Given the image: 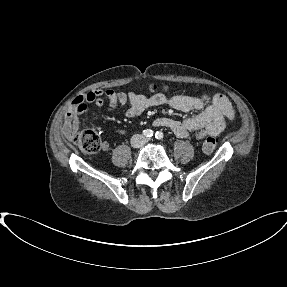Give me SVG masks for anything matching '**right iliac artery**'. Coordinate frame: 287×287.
Instances as JSON below:
<instances>
[{"mask_svg":"<svg viewBox=\"0 0 287 287\" xmlns=\"http://www.w3.org/2000/svg\"><path fill=\"white\" fill-rule=\"evenodd\" d=\"M153 134H154V132H153L151 129H146V130L143 131V135H144L145 137H147V138L152 137Z\"/></svg>","mask_w":287,"mask_h":287,"instance_id":"right-iliac-artery-1","label":"right iliac artery"}]
</instances>
